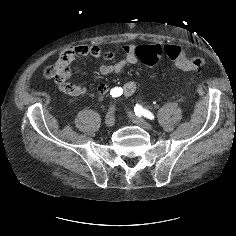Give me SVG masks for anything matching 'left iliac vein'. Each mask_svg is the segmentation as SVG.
Listing matches in <instances>:
<instances>
[{
	"label": "left iliac vein",
	"instance_id": "1",
	"mask_svg": "<svg viewBox=\"0 0 236 236\" xmlns=\"http://www.w3.org/2000/svg\"><path fill=\"white\" fill-rule=\"evenodd\" d=\"M128 116L134 124L142 127L143 129H146V130L153 129V127L150 123H148L147 121H145L144 119H142L140 117H137L136 115H134V113L128 112Z\"/></svg>",
	"mask_w": 236,
	"mask_h": 236
}]
</instances>
